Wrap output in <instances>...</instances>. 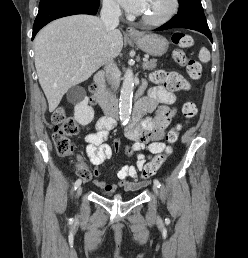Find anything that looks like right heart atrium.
Segmentation results:
<instances>
[{"label":"right heart atrium","instance_id":"right-heart-atrium-1","mask_svg":"<svg viewBox=\"0 0 248 258\" xmlns=\"http://www.w3.org/2000/svg\"><path fill=\"white\" fill-rule=\"evenodd\" d=\"M104 8L107 12L111 14H119L120 13V7L116 0H103Z\"/></svg>","mask_w":248,"mask_h":258}]
</instances>
